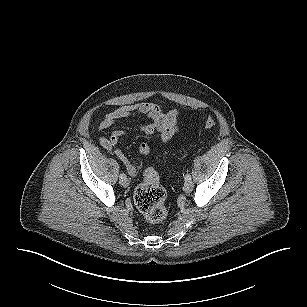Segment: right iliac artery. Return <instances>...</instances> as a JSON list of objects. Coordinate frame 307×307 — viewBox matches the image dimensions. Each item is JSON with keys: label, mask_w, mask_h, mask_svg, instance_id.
Instances as JSON below:
<instances>
[{"label": "right iliac artery", "mask_w": 307, "mask_h": 307, "mask_svg": "<svg viewBox=\"0 0 307 307\" xmlns=\"http://www.w3.org/2000/svg\"><path fill=\"white\" fill-rule=\"evenodd\" d=\"M124 177H126V175L124 173L120 174L119 178L123 179Z\"/></svg>", "instance_id": "obj_1"}]
</instances>
